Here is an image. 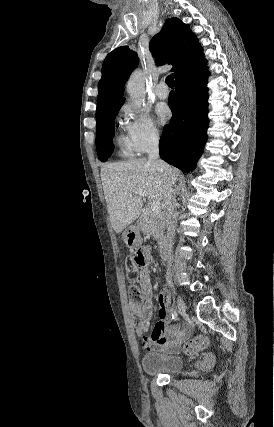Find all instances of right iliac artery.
Listing matches in <instances>:
<instances>
[{"label": "right iliac artery", "instance_id": "right-iliac-artery-1", "mask_svg": "<svg viewBox=\"0 0 274 427\" xmlns=\"http://www.w3.org/2000/svg\"><path fill=\"white\" fill-rule=\"evenodd\" d=\"M177 317H178L177 311L174 310L173 313H172V319L173 320H177Z\"/></svg>", "mask_w": 274, "mask_h": 427}]
</instances>
